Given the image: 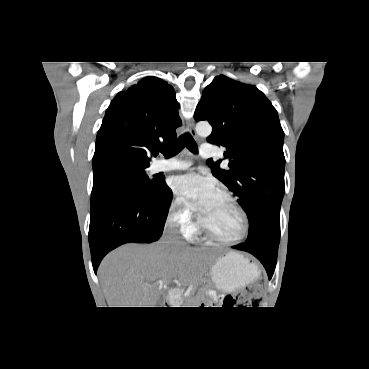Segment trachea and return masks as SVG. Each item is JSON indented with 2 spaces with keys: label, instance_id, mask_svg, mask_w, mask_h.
Listing matches in <instances>:
<instances>
[{
  "label": "trachea",
  "instance_id": "trachea-1",
  "mask_svg": "<svg viewBox=\"0 0 369 369\" xmlns=\"http://www.w3.org/2000/svg\"><path fill=\"white\" fill-rule=\"evenodd\" d=\"M185 146L194 154L198 152L197 144L189 133L181 135L170 147H163L159 150L166 158H169L178 154Z\"/></svg>",
  "mask_w": 369,
  "mask_h": 369
}]
</instances>
